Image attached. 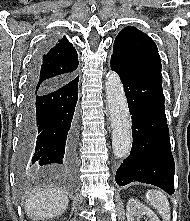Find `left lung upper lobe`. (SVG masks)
<instances>
[{
    "label": "left lung upper lobe",
    "mask_w": 190,
    "mask_h": 221,
    "mask_svg": "<svg viewBox=\"0 0 190 221\" xmlns=\"http://www.w3.org/2000/svg\"><path fill=\"white\" fill-rule=\"evenodd\" d=\"M114 58L126 66L161 73L160 56L154 41L135 27H126L115 39Z\"/></svg>",
    "instance_id": "left-lung-upper-lobe-1"
}]
</instances>
